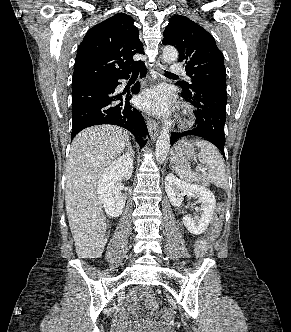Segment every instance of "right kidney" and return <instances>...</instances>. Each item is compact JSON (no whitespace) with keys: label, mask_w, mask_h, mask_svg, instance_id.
Listing matches in <instances>:
<instances>
[{"label":"right kidney","mask_w":291,"mask_h":332,"mask_svg":"<svg viewBox=\"0 0 291 332\" xmlns=\"http://www.w3.org/2000/svg\"><path fill=\"white\" fill-rule=\"evenodd\" d=\"M131 166L129 154H123L106 169L98 182V199L111 218L121 215L124 209L126 198L121 195L119 182L130 178Z\"/></svg>","instance_id":"ca27d5eb"}]
</instances>
